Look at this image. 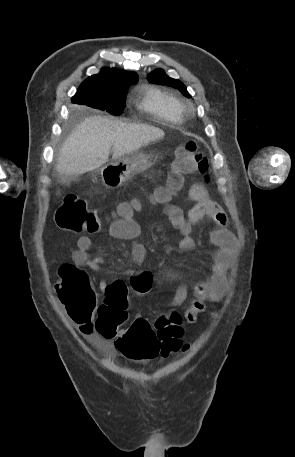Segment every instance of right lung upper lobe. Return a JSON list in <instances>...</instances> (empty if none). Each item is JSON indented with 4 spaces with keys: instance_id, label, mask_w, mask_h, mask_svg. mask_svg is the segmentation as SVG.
Listing matches in <instances>:
<instances>
[{
    "instance_id": "right-lung-upper-lobe-1",
    "label": "right lung upper lobe",
    "mask_w": 295,
    "mask_h": 457,
    "mask_svg": "<svg viewBox=\"0 0 295 457\" xmlns=\"http://www.w3.org/2000/svg\"><path fill=\"white\" fill-rule=\"evenodd\" d=\"M138 79V75L119 69H105L82 82L79 88L112 91L128 87Z\"/></svg>"
}]
</instances>
